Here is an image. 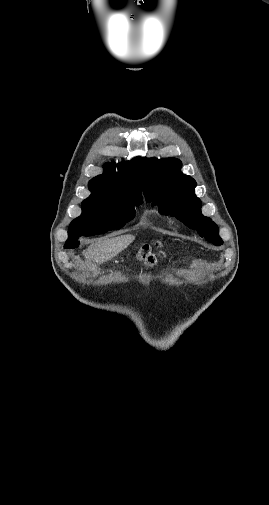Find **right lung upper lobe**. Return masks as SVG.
Here are the masks:
<instances>
[{
  "label": "right lung upper lobe",
  "instance_id": "obj_1",
  "mask_svg": "<svg viewBox=\"0 0 269 505\" xmlns=\"http://www.w3.org/2000/svg\"><path fill=\"white\" fill-rule=\"evenodd\" d=\"M105 164L102 175L89 182L92 194L87 199H137L141 196V158L137 157L127 163L117 165Z\"/></svg>",
  "mask_w": 269,
  "mask_h": 505
}]
</instances>
